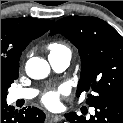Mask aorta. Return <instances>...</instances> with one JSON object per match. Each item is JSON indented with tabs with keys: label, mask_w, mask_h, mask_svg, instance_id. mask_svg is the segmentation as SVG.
Masks as SVG:
<instances>
[{
	"label": "aorta",
	"mask_w": 123,
	"mask_h": 123,
	"mask_svg": "<svg viewBox=\"0 0 123 123\" xmlns=\"http://www.w3.org/2000/svg\"><path fill=\"white\" fill-rule=\"evenodd\" d=\"M25 70L27 75L32 79H44L50 73V66L46 60L32 57L27 61Z\"/></svg>",
	"instance_id": "obj_1"
}]
</instances>
